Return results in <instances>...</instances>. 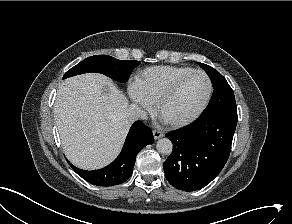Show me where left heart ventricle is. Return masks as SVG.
Here are the masks:
<instances>
[{
  "mask_svg": "<svg viewBox=\"0 0 292 224\" xmlns=\"http://www.w3.org/2000/svg\"><path fill=\"white\" fill-rule=\"evenodd\" d=\"M208 91V82L203 75L189 78L161 109L165 121H178L192 115L203 103Z\"/></svg>",
  "mask_w": 292,
  "mask_h": 224,
  "instance_id": "left-heart-ventricle-1",
  "label": "left heart ventricle"
}]
</instances>
